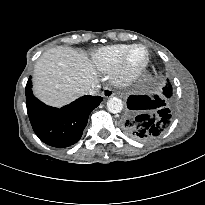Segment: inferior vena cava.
Instances as JSON below:
<instances>
[{
    "instance_id": "1",
    "label": "inferior vena cava",
    "mask_w": 205,
    "mask_h": 205,
    "mask_svg": "<svg viewBox=\"0 0 205 205\" xmlns=\"http://www.w3.org/2000/svg\"><path fill=\"white\" fill-rule=\"evenodd\" d=\"M98 88H99V85H97L96 83H93L91 88L88 90V93L90 95H94V94H96Z\"/></svg>"
}]
</instances>
